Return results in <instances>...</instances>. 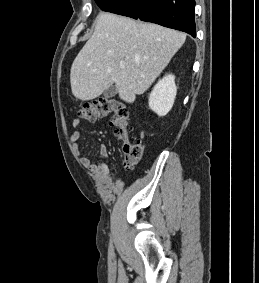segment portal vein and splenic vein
I'll use <instances>...</instances> for the list:
<instances>
[{"label": "portal vein and splenic vein", "instance_id": "portal-vein-and-splenic-vein-1", "mask_svg": "<svg viewBox=\"0 0 259 283\" xmlns=\"http://www.w3.org/2000/svg\"><path fill=\"white\" fill-rule=\"evenodd\" d=\"M121 67H122V68H124V67H125V65H124V64H122V65H121Z\"/></svg>", "mask_w": 259, "mask_h": 283}]
</instances>
